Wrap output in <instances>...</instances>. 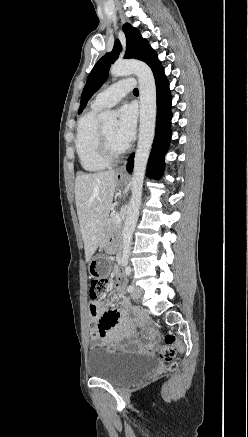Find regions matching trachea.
<instances>
[{
	"instance_id": "trachea-1",
	"label": "trachea",
	"mask_w": 248,
	"mask_h": 437,
	"mask_svg": "<svg viewBox=\"0 0 248 437\" xmlns=\"http://www.w3.org/2000/svg\"><path fill=\"white\" fill-rule=\"evenodd\" d=\"M133 93H134V94H138V93H139V92H138V89L135 88V89L133 90Z\"/></svg>"
}]
</instances>
